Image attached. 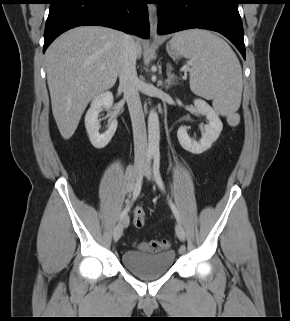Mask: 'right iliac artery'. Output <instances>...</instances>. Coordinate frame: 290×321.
<instances>
[{"instance_id": "1", "label": "right iliac artery", "mask_w": 290, "mask_h": 321, "mask_svg": "<svg viewBox=\"0 0 290 321\" xmlns=\"http://www.w3.org/2000/svg\"><path fill=\"white\" fill-rule=\"evenodd\" d=\"M153 155H154L153 152H148V154H147L144 170H142V172H140L139 176L137 177V181L135 183V190L133 192L132 202H134L136 200L137 196L140 194L141 186H142V182H143L144 171L149 166V164L153 158ZM132 202H131V204H132ZM129 209H130V204L128 206H126V208L122 211L121 216H120L121 219L124 216H126Z\"/></svg>"}]
</instances>
